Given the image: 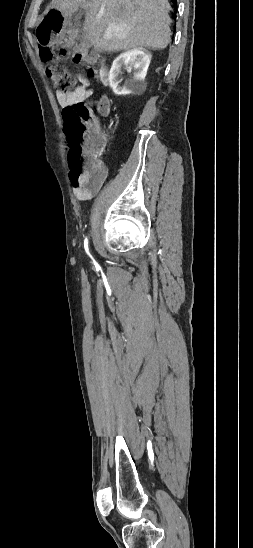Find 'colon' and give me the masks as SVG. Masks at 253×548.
I'll return each mask as SVG.
<instances>
[{
  "label": "colon",
  "mask_w": 253,
  "mask_h": 548,
  "mask_svg": "<svg viewBox=\"0 0 253 548\" xmlns=\"http://www.w3.org/2000/svg\"><path fill=\"white\" fill-rule=\"evenodd\" d=\"M37 39L41 59L46 73L54 86L61 92H70L75 87V79L62 63L71 54L76 64L90 65L94 60V51L81 43L68 44V36L61 12L51 10L37 28ZM104 103L100 110L105 111ZM66 134L69 142L68 163L70 177L74 184L85 179H96L103 172L99 160L102 150V137L88 134L93 123V113L86 102H78L64 109Z\"/></svg>",
  "instance_id": "1"
}]
</instances>
